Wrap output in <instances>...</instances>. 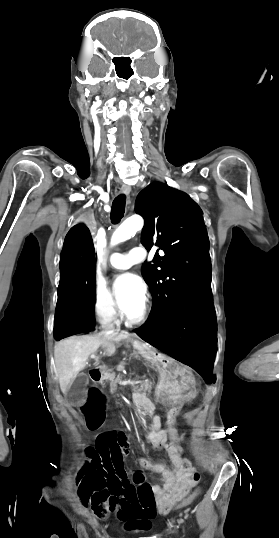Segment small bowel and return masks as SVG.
I'll use <instances>...</instances> for the list:
<instances>
[{"mask_svg": "<svg viewBox=\"0 0 279 538\" xmlns=\"http://www.w3.org/2000/svg\"><path fill=\"white\" fill-rule=\"evenodd\" d=\"M178 406H172L166 413V428H162L161 418L155 416L150 424V432L147 435L150 443L157 449L166 451L172 459L174 468L167 469L161 463H153L146 459H139V464L148 470L161 474L160 483L154 486L156 503L159 509L171 506L182 498L196 482L185 480L180 473V446L179 436L174 427ZM121 517H124L122 515ZM150 517L133 518L130 526L136 529L147 530L150 527Z\"/></svg>", "mask_w": 279, "mask_h": 538, "instance_id": "1", "label": "small bowel"}]
</instances>
